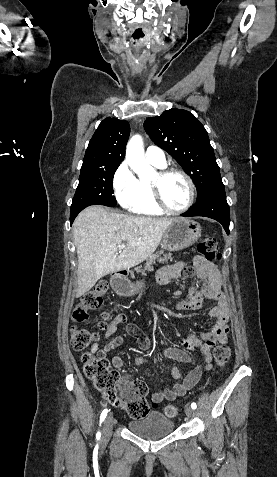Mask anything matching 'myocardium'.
Returning <instances> with one entry per match:
<instances>
[{
  "mask_svg": "<svg viewBox=\"0 0 277 477\" xmlns=\"http://www.w3.org/2000/svg\"><path fill=\"white\" fill-rule=\"evenodd\" d=\"M173 174H178L184 177L189 187V196L186 204L180 209L170 208L164 201L162 192H161V183L162 181ZM150 186L152 190L153 199L157 207L164 213L170 215H179L188 211L194 203L196 196V187L191 176L184 170L179 168H166L159 170L153 179L150 181Z\"/></svg>",
  "mask_w": 277,
  "mask_h": 477,
  "instance_id": "1",
  "label": "myocardium"
}]
</instances>
